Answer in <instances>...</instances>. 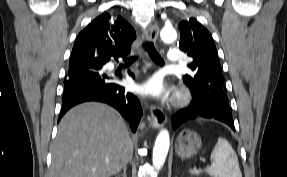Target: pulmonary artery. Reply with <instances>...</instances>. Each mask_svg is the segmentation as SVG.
<instances>
[{
  "mask_svg": "<svg viewBox=\"0 0 287 177\" xmlns=\"http://www.w3.org/2000/svg\"><path fill=\"white\" fill-rule=\"evenodd\" d=\"M179 54H180L179 49H177V48L171 49L167 54L166 64L168 66L179 65Z\"/></svg>",
  "mask_w": 287,
  "mask_h": 177,
  "instance_id": "e3ab8cb5",
  "label": "pulmonary artery"
}]
</instances>
